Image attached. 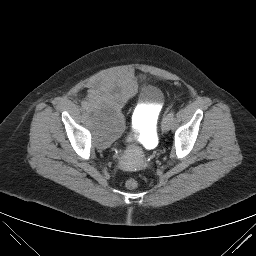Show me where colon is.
Returning a JSON list of instances; mask_svg holds the SVG:
<instances>
[{
  "label": "colon",
  "instance_id": "5ec220e1",
  "mask_svg": "<svg viewBox=\"0 0 256 256\" xmlns=\"http://www.w3.org/2000/svg\"><path fill=\"white\" fill-rule=\"evenodd\" d=\"M140 182L136 178H130L126 181V187L128 189H136L139 186Z\"/></svg>",
  "mask_w": 256,
  "mask_h": 256
}]
</instances>
